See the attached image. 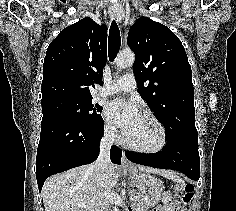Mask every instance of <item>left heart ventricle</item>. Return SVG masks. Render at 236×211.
<instances>
[{
  "mask_svg": "<svg viewBox=\"0 0 236 211\" xmlns=\"http://www.w3.org/2000/svg\"><path fill=\"white\" fill-rule=\"evenodd\" d=\"M124 137L129 143L141 148H155L160 142L159 129L142 115L124 134Z\"/></svg>",
  "mask_w": 236,
  "mask_h": 211,
  "instance_id": "1",
  "label": "left heart ventricle"
}]
</instances>
